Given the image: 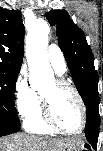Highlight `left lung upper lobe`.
<instances>
[{"mask_svg":"<svg viewBox=\"0 0 103 151\" xmlns=\"http://www.w3.org/2000/svg\"><path fill=\"white\" fill-rule=\"evenodd\" d=\"M50 25L56 26L58 44L63 51L76 88L84 103L99 76L94 67V57L83 31L74 24L65 10L46 13Z\"/></svg>","mask_w":103,"mask_h":151,"instance_id":"obj_1","label":"left lung upper lobe"}]
</instances>
